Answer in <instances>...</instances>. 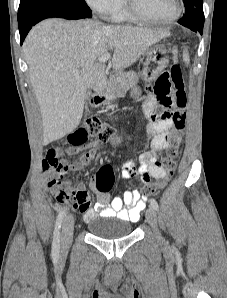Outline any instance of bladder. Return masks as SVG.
<instances>
[{"mask_svg": "<svg viewBox=\"0 0 227 298\" xmlns=\"http://www.w3.org/2000/svg\"><path fill=\"white\" fill-rule=\"evenodd\" d=\"M88 229L92 235L105 240H114L126 237L132 232V225L127 220H105L95 218L88 222Z\"/></svg>", "mask_w": 227, "mask_h": 298, "instance_id": "1", "label": "bladder"}]
</instances>
